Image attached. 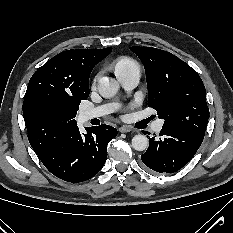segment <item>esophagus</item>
Listing matches in <instances>:
<instances>
[{
	"label": "esophagus",
	"instance_id": "34e87169",
	"mask_svg": "<svg viewBox=\"0 0 233 233\" xmlns=\"http://www.w3.org/2000/svg\"><path fill=\"white\" fill-rule=\"evenodd\" d=\"M131 131H132V128L130 126H127V125H123L119 128V132H121V133H128Z\"/></svg>",
	"mask_w": 233,
	"mask_h": 233
}]
</instances>
